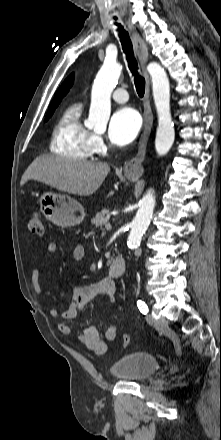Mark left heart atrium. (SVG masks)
Segmentation results:
<instances>
[{
    "label": "left heart atrium",
    "mask_w": 221,
    "mask_h": 440,
    "mask_svg": "<svg viewBox=\"0 0 221 440\" xmlns=\"http://www.w3.org/2000/svg\"><path fill=\"white\" fill-rule=\"evenodd\" d=\"M141 119L136 110L124 107L116 111L109 123V138L118 146L129 144L139 132Z\"/></svg>",
    "instance_id": "obj_1"
}]
</instances>
